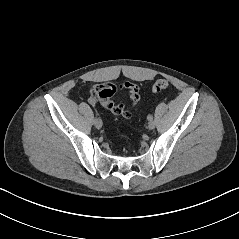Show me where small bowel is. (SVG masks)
Wrapping results in <instances>:
<instances>
[{"mask_svg": "<svg viewBox=\"0 0 239 239\" xmlns=\"http://www.w3.org/2000/svg\"><path fill=\"white\" fill-rule=\"evenodd\" d=\"M120 89L127 91L130 100V106H126L123 103H119L113 99L117 89L111 84L98 86L92 90L89 100L93 105H97L99 103L101 106L111 111L114 115H120L126 119H129L133 117V115L142 105L140 89L138 85L130 82L122 84Z\"/></svg>", "mask_w": 239, "mask_h": 239, "instance_id": "c3829d8e", "label": "small bowel"}]
</instances>
